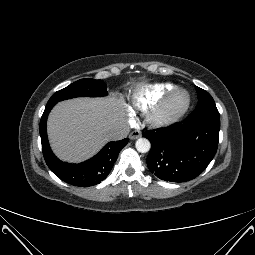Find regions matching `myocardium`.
Segmentation results:
<instances>
[{
	"instance_id": "myocardium-1",
	"label": "myocardium",
	"mask_w": 255,
	"mask_h": 255,
	"mask_svg": "<svg viewBox=\"0 0 255 255\" xmlns=\"http://www.w3.org/2000/svg\"><path fill=\"white\" fill-rule=\"evenodd\" d=\"M183 94L184 103L178 108H172L174 98ZM191 96L184 88H175L170 91L150 112L148 120L155 127H166L177 122L188 110Z\"/></svg>"
}]
</instances>
